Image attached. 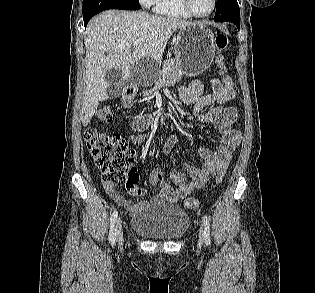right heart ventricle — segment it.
Returning a JSON list of instances; mask_svg holds the SVG:
<instances>
[{"label": "right heart ventricle", "instance_id": "right-heart-ventricle-1", "mask_svg": "<svg viewBox=\"0 0 315 293\" xmlns=\"http://www.w3.org/2000/svg\"><path fill=\"white\" fill-rule=\"evenodd\" d=\"M155 11L166 17L189 19L193 17L184 7L182 0H157Z\"/></svg>", "mask_w": 315, "mask_h": 293}]
</instances>
